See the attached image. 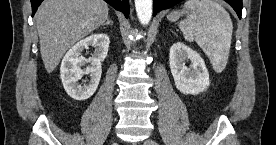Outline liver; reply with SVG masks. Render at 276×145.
Returning <instances> with one entry per match:
<instances>
[{"label":"liver","mask_w":276,"mask_h":145,"mask_svg":"<svg viewBox=\"0 0 276 145\" xmlns=\"http://www.w3.org/2000/svg\"><path fill=\"white\" fill-rule=\"evenodd\" d=\"M103 0H44L35 15L40 53L48 73L65 52L108 19Z\"/></svg>","instance_id":"obj_1"}]
</instances>
